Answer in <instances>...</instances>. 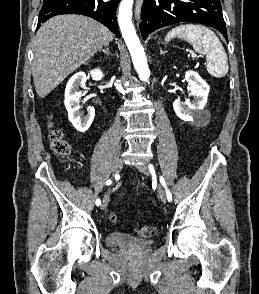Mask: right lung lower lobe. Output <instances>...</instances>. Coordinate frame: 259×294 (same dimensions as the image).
Wrapping results in <instances>:
<instances>
[{
  "label": "right lung lower lobe",
  "instance_id": "obj_1",
  "mask_svg": "<svg viewBox=\"0 0 259 294\" xmlns=\"http://www.w3.org/2000/svg\"><path fill=\"white\" fill-rule=\"evenodd\" d=\"M120 0H44L39 13L40 24L59 14H83L101 22L120 37L116 22V9Z\"/></svg>",
  "mask_w": 259,
  "mask_h": 294
}]
</instances>
